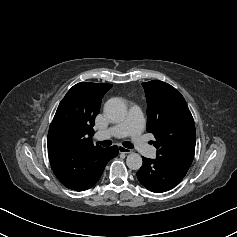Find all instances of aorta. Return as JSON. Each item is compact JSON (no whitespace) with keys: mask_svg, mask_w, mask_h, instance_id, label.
Returning <instances> with one entry per match:
<instances>
[{"mask_svg":"<svg viewBox=\"0 0 237 237\" xmlns=\"http://www.w3.org/2000/svg\"><path fill=\"white\" fill-rule=\"evenodd\" d=\"M104 112L111 120L120 122L126 117L127 107L122 99L111 98L105 103ZM142 163V158L137 153H131L127 156L126 164L132 170H139Z\"/></svg>","mask_w":237,"mask_h":237,"instance_id":"1","label":"aorta"}]
</instances>
